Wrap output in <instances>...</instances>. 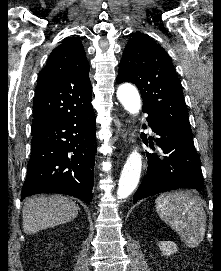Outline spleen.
<instances>
[{"label": "spleen", "instance_id": "spleen-1", "mask_svg": "<svg viewBox=\"0 0 221 271\" xmlns=\"http://www.w3.org/2000/svg\"><path fill=\"white\" fill-rule=\"evenodd\" d=\"M156 211L167 225L179 233L188 247H197L203 241L206 213L197 195L166 191L157 197Z\"/></svg>", "mask_w": 221, "mask_h": 271}]
</instances>
